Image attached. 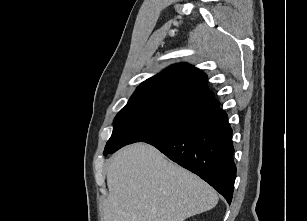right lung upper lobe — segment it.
Listing matches in <instances>:
<instances>
[{
    "mask_svg": "<svg viewBox=\"0 0 307 221\" xmlns=\"http://www.w3.org/2000/svg\"><path fill=\"white\" fill-rule=\"evenodd\" d=\"M207 75L186 63L175 64L144 81L129 102L177 101L213 109L219 106L206 86Z\"/></svg>",
    "mask_w": 307,
    "mask_h": 221,
    "instance_id": "cb5924a9",
    "label": "right lung upper lobe"
}]
</instances>
